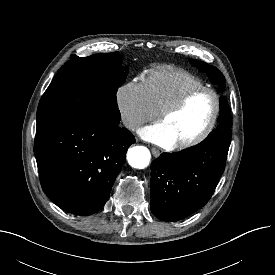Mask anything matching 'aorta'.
Instances as JSON below:
<instances>
[{
    "mask_svg": "<svg viewBox=\"0 0 275 275\" xmlns=\"http://www.w3.org/2000/svg\"><path fill=\"white\" fill-rule=\"evenodd\" d=\"M150 159V151L144 146H134L127 152L128 163L133 168L144 169L149 165Z\"/></svg>",
    "mask_w": 275,
    "mask_h": 275,
    "instance_id": "aorta-1",
    "label": "aorta"
}]
</instances>
